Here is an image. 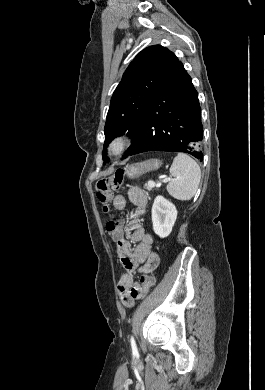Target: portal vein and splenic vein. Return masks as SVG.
Here are the masks:
<instances>
[{"label":"portal vein and splenic vein","mask_w":265,"mask_h":390,"mask_svg":"<svg viewBox=\"0 0 265 390\" xmlns=\"http://www.w3.org/2000/svg\"><path fill=\"white\" fill-rule=\"evenodd\" d=\"M169 180H170V178L165 176V177L163 178L162 182H163V183H166V182H168ZM148 183H149L151 186H159V184H155L153 181H149Z\"/></svg>","instance_id":"1"}]
</instances>
